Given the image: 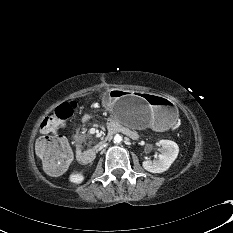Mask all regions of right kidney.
Wrapping results in <instances>:
<instances>
[{
	"mask_svg": "<svg viewBox=\"0 0 233 233\" xmlns=\"http://www.w3.org/2000/svg\"><path fill=\"white\" fill-rule=\"evenodd\" d=\"M84 180V176L81 173H73L69 177V181L74 184H80Z\"/></svg>",
	"mask_w": 233,
	"mask_h": 233,
	"instance_id": "ca27d5eb",
	"label": "right kidney"
}]
</instances>
